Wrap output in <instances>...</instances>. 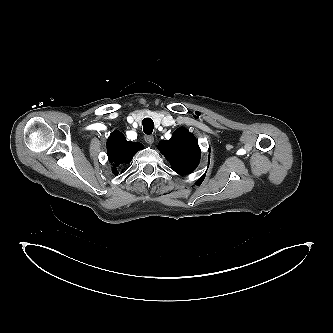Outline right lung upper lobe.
I'll use <instances>...</instances> for the list:
<instances>
[{
    "instance_id": "right-lung-upper-lobe-1",
    "label": "right lung upper lobe",
    "mask_w": 333,
    "mask_h": 333,
    "mask_svg": "<svg viewBox=\"0 0 333 333\" xmlns=\"http://www.w3.org/2000/svg\"><path fill=\"white\" fill-rule=\"evenodd\" d=\"M143 148L139 142L127 141L120 131L112 132L107 140V153L110 163L114 166L113 173L117 175V168L130 163L133 156Z\"/></svg>"
}]
</instances>
